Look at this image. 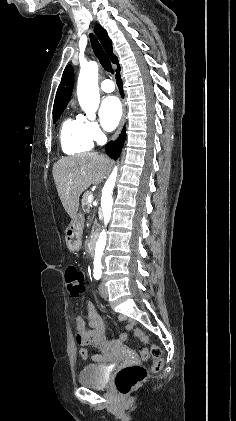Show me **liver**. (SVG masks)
<instances>
[{
  "instance_id": "6515ba94",
  "label": "liver",
  "mask_w": 236,
  "mask_h": 421,
  "mask_svg": "<svg viewBox=\"0 0 236 421\" xmlns=\"http://www.w3.org/2000/svg\"><path fill=\"white\" fill-rule=\"evenodd\" d=\"M112 160L98 152L64 156L53 164V176L60 200L71 219L79 208V196L90 184L102 182Z\"/></svg>"
}]
</instances>
